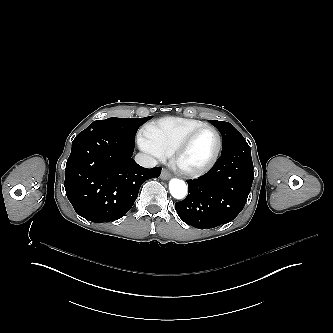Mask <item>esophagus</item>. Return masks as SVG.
I'll use <instances>...</instances> for the list:
<instances>
[{
	"label": "esophagus",
	"instance_id": "esophagus-1",
	"mask_svg": "<svg viewBox=\"0 0 333 333\" xmlns=\"http://www.w3.org/2000/svg\"><path fill=\"white\" fill-rule=\"evenodd\" d=\"M170 177L171 174L166 169H163L160 178L162 180H169Z\"/></svg>",
	"mask_w": 333,
	"mask_h": 333
}]
</instances>
